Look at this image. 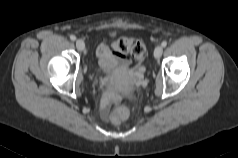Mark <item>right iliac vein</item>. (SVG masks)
<instances>
[{
	"label": "right iliac vein",
	"mask_w": 238,
	"mask_h": 158,
	"mask_svg": "<svg viewBox=\"0 0 238 158\" xmlns=\"http://www.w3.org/2000/svg\"><path fill=\"white\" fill-rule=\"evenodd\" d=\"M76 47H77L78 50L83 51L84 48H85L84 41L81 40V39L76 40Z\"/></svg>",
	"instance_id": "63e3f726"
}]
</instances>
